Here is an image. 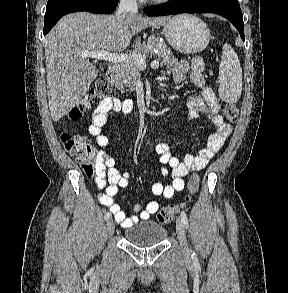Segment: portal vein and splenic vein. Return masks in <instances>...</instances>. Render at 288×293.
I'll list each match as a JSON object with an SVG mask.
<instances>
[{"label":"portal vein and splenic vein","mask_w":288,"mask_h":293,"mask_svg":"<svg viewBox=\"0 0 288 293\" xmlns=\"http://www.w3.org/2000/svg\"><path fill=\"white\" fill-rule=\"evenodd\" d=\"M82 57L84 58H92V59H100L108 62H123V61H132L139 68L144 69L146 67V59L144 56L132 53V54H124V53H110L105 50H98L92 52H83ZM159 62L154 60L151 62V67H158Z\"/></svg>","instance_id":"obj_1"}]
</instances>
